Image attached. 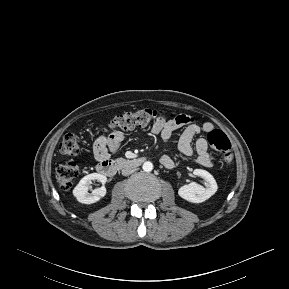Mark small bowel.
Here are the masks:
<instances>
[{
    "instance_id": "c3829d8e",
    "label": "small bowel",
    "mask_w": 289,
    "mask_h": 289,
    "mask_svg": "<svg viewBox=\"0 0 289 289\" xmlns=\"http://www.w3.org/2000/svg\"><path fill=\"white\" fill-rule=\"evenodd\" d=\"M185 126V129L179 139V151L186 155L194 157L195 162L203 167L212 166V158L208 152L207 135L214 130V125L210 122L198 124L188 115L179 114L174 118H162L157 120L151 132L159 135L164 143H168L177 129ZM124 139V133L117 131L108 137H99L93 144V153L97 161L108 159L109 152H115L120 147ZM161 163L166 168L174 166L173 158L165 154L161 157Z\"/></svg>"
}]
</instances>
